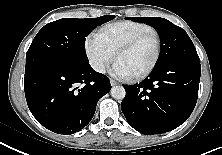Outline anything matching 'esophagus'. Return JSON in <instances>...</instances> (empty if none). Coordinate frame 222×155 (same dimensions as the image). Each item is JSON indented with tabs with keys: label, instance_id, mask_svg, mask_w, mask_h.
<instances>
[{
	"label": "esophagus",
	"instance_id": "esophagus-1",
	"mask_svg": "<svg viewBox=\"0 0 222 155\" xmlns=\"http://www.w3.org/2000/svg\"><path fill=\"white\" fill-rule=\"evenodd\" d=\"M110 83H111V85H112V86H115V85H117V84H118V82H117V81H115V80H113V79H110Z\"/></svg>",
	"mask_w": 222,
	"mask_h": 155
}]
</instances>
